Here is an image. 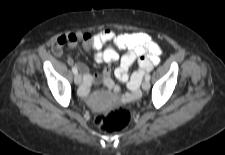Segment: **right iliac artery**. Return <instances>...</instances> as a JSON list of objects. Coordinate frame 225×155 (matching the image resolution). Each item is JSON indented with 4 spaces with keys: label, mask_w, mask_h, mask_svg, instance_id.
Wrapping results in <instances>:
<instances>
[{
    "label": "right iliac artery",
    "mask_w": 225,
    "mask_h": 155,
    "mask_svg": "<svg viewBox=\"0 0 225 155\" xmlns=\"http://www.w3.org/2000/svg\"><path fill=\"white\" fill-rule=\"evenodd\" d=\"M72 72H73L74 74H77V73H78L77 68H76V67H72Z\"/></svg>",
    "instance_id": "right-iliac-artery-1"
}]
</instances>
